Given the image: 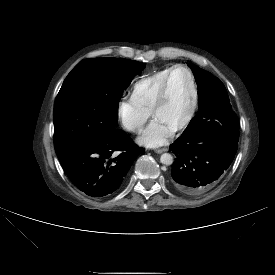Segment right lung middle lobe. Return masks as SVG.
Masks as SVG:
<instances>
[{"label": "right lung middle lobe", "mask_w": 275, "mask_h": 275, "mask_svg": "<svg viewBox=\"0 0 275 275\" xmlns=\"http://www.w3.org/2000/svg\"><path fill=\"white\" fill-rule=\"evenodd\" d=\"M145 64L123 58L81 61L66 77L54 107V145L64 148L116 130L118 103Z\"/></svg>", "instance_id": "dd1d6c3e"}]
</instances>
